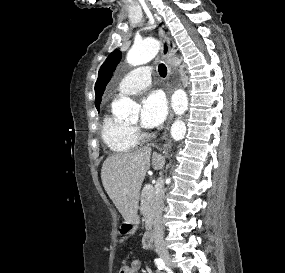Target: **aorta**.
Masks as SVG:
<instances>
[{
    "instance_id": "762f6f07",
    "label": "aorta",
    "mask_w": 285,
    "mask_h": 273,
    "mask_svg": "<svg viewBox=\"0 0 285 273\" xmlns=\"http://www.w3.org/2000/svg\"><path fill=\"white\" fill-rule=\"evenodd\" d=\"M159 51V42L155 39H146L135 43L128 51L126 59L128 64L138 66L151 61ZM171 105L174 112L181 116L187 110L188 98L183 89L176 90L171 97ZM115 117L125 119L138 115L139 107L131 99L122 97L114 100L111 105ZM186 134L185 123L177 119L171 127V136L175 141L182 140Z\"/></svg>"
}]
</instances>
